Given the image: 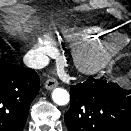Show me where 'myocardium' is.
Returning <instances> with one entry per match:
<instances>
[{
    "instance_id": "myocardium-1",
    "label": "myocardium",
    "mask_w": 131,
    "mask_h": 131,
    "mask_svg": "<svg viewBox=\"0 0 131 131\" xmlns=\"http://www.w3.org/2000/svg\"><path fill=\"white\" fill-rule=\"evenodd\" d=\"M126 47V42L117 35H109L92 42L74 45L72 61L84 74H94L104 67Z\"/></svg>"
}]
</instances>
